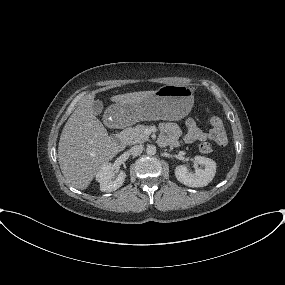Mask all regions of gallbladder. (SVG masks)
Segmentation results:
<instances>
[{
  "mask_svg": "<svg viewBox=\"0 0 285 285\" xmlns=\"http://www.w3.org/2000/svg\"><path fill=\"white\" fill-rule=\"evenodd\" d=\"M92 110L95 115H99L103 110V103L100 100H95L92 104Z\"/></svg>",
  "mask_w": 285,
  "mask_h": 285,
  "instance_id": "bac80fb5",
  "label": "gallbladder"
}]
</instances>
